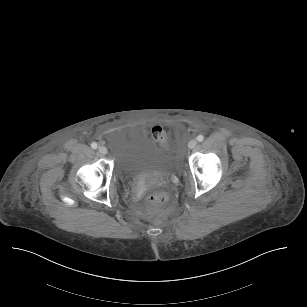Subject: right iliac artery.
I'll return each instance as SVG.
<instances>
[{"mask_svg":"<svg viewBox=\"0 0 307 307\" xmlns=\"http://www.w3.org/2000/svg\"><path fill=\"white\" fill-rule=\"evenodd\" d=\"M91 147H92L93 149H96V148L98 147V145H97L96 142H93V143L91 144Z\"/></svg>","mask_w":307,"mask_h":307,"instance_id":"82829eb1","label":"right iliac artery"}]
</instances>
